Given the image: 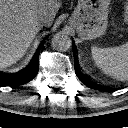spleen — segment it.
<instances>
[{"label": "spleen", "instance_id": "1", "mask_svg": "<svg viewBox=\"0 0 128 128\" xmlns=\"http://www.w3.org/2000/svg\"><path fill=\"white\" fill-rule=\"evenodd\" d=\"M96 66L106 75L117 80H128V42L119 47L91 48Z\"/></svg>", "mask_w": 128, "mask_h": 128}]
</instances>
